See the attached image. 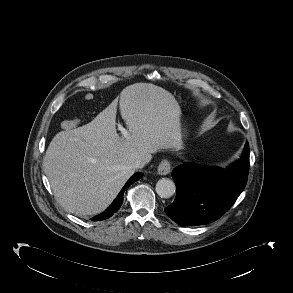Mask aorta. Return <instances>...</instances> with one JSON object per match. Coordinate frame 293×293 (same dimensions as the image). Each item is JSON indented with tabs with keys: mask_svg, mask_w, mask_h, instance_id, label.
I'll return each mask as SVG.
<instances>
[{
	"mask_svg": "<svg viewBox=\"0 0 293 293\" xmlns=\"http://www.w3.org/2000/svg\"><path fill=\"white\" fill-rule=\"evenodd\" d=\"M175 191V183L171 179L162 178L156 184V193L162 198L173 196Z\"/></svg>",
	"mask_w": 293,
	"mask_h": 293,
	"instance_id": "aorta-1",
	"label": "aorta"
}]
</instances>
